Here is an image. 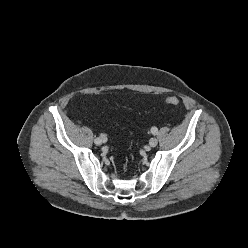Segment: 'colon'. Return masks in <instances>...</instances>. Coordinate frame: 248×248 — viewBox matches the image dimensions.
<instances>
[{"label": "colon", "mask_w": 248, "mask_h": 248, "mask_svg": "<svg viewBox=\"0 0 248 248\" xmlns=\"http://www.w3.org/2000/svg\"><path fill=\"white\" fill-rule=\"evenodd\" d=\"M165 103L172 106H177L180 104V100L175 96L167 97Z\"/></svg>", "instance_id": "5ec220e1"}]
</instances>
